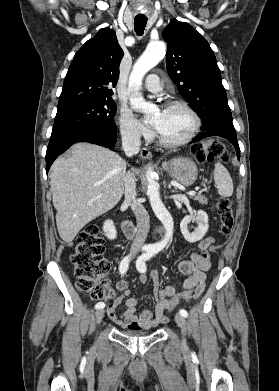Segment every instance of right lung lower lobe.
Here are the masks:
<instances>
[{"mask_svg": "<svg viewBox=\"0 0 279 391\" xmlns=\"http://www.w3.org/2000/svg\"><path fill=\"white\" fill-rule=\"evenodd\" d=\"M90 142L112 149L117 142V129L114 122L51 134L46 152V171L58 155L76 142Z\"/></svg>", "mask_w": 279, "mask_h": 391, "instance_id": "right-lung-lower-lobe-1", "label": "right lung lower lobe"}]
</instances>
